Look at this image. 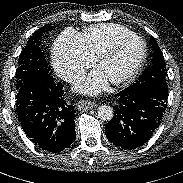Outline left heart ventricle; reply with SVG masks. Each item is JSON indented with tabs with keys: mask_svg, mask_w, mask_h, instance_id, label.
Segmentation results:
<instances>
[{
	"mask_svg": "<svg viewBox=\"0 0 183 183\" xmlns=\"http://www.w3.org/2000/svg\"><path fill=\"white\" fill-rule=\"evenodd\" d=\"M142 51L138 41H129L123 44L111 57L103 61L98 69L106 76L108 81L128 73L137 62Z\"/></svg>",
	"mask_w": 183,
	"mask_h": 183,
	"instance_id": "left-heart-ventricle-1",
	"label": "left heart ventricle"
}]
</instances>
